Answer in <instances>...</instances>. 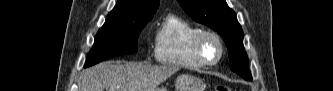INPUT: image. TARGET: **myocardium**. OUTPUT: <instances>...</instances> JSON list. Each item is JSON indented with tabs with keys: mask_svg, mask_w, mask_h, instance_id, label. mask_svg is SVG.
Segmentation results:
<instances>
[{
	"mask_svg": "<svg viewBox=\"0 0 333 91\" xmlns=\"http://www.w3.org/2000/svg\"><path fill=\"white\" fill-rule=\"evenodd\" d=\"M213 38L219 47V53L214 61H210L205 58L203 53V42L206 38ZM224 43L219 34L212 30H200L193 39V52L198 60L203 66H215L217 65L224 56Z\"/></svg>",
	"mask_w": 333,
	"mask_h": 91,
	"instance_id": "1",
	"label": "myocardium"
}]
</instances>
